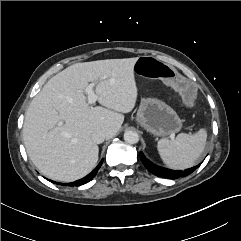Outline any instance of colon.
Listing matches in <instances>:
<instances>
[{"label": "colon", "instance_id": "5ec220e1", "mask_svg": "<svg viewBox=\"0 0 241 241\" xmlns=\"http://www.w3.org/2000/svg\"><path fill=\"white\" fill-rule=\"evenodd\" d=\"M136 71L143 78L152 77L158 80L164 87L176 88L182 94L184 104L194 107L196 104V87L194 83L185 78L179 71L168 68L165 62L153 57H139L136 60Z\"/></svg>", "mask_w": 241, "mask_h": 241}]
</instances>
